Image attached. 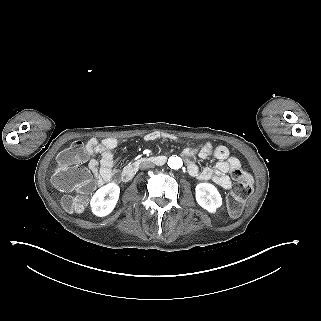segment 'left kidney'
Here are the masks:
<instances>
[{"instance_id": "1", "label": "left kidney", "mask_w": 321, "mask_h": 321, "mask_svg": "<svg viewBox=\"0 0 321 321\" xmlns=\"http://www.w3.org/2000/svg\"><path fill=\"white\" fill-rule=\"evenodd\" d=\"M195 190L197 203L210 213H215L216 209L222 205L221 195L214 185L199 183Z\"/></svg>"}]
</instances>
